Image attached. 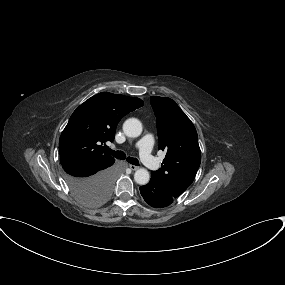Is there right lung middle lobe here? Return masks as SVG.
I'll return each instance as SVG.
<instances>
[{"label":"right lung middle lobe","mask_w":285,"mask_h":285,"mask_svg":"<svg viewBox=\"0 0 285 285\" xmlns=\"http://www.w3.org/2000/svg\"><path fill=\"white\" fill-rule=\"evenodd\" d=\"M111 188L112 186L90 185L71 187V190L82 203L89 206H98L109 198Z\"/></svg>","instance_id":"right-lung-middle-lobe-1"}]
</instances>
